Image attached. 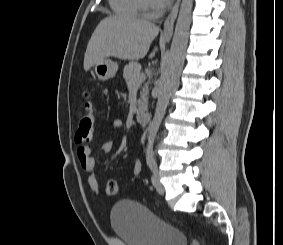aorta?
<instances>
[{"label":"aorta","instance_id":"obj_1","mask_svg":"<svg viewBox=\"0 0 283 245\" xmlns=\"http://www.w3.org/2000/svg\"><path fill=\"white\" fill-rule=\"evenodd\" d=\"M193 0H182L165 71L162 75L153 120L148 128L147 150L153 149L175 83L182 71L188 44Z\"/></svg>","mask_w":283,"mask_h":245}]
</instances>
